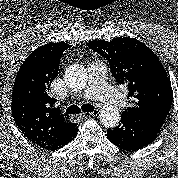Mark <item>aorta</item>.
I'll list each match as a JSON object with an SVG mask.
<instances>
[{
    "instance_id": "762f6f07",
    "label": "aorta",
    "mask_w": 178,
    "mask_h": 178,
    "mask_svg": "<svg viewBox=\"0 0 178 178\" xmlns=\"http://www.w3.org/2000/svg\"><path fill=\"white\" fill-rule=\"evenodd\" d=\"M67 85L73 90H82L85 88L88 76L84 67L74 65L69 67L65 74ZM101 123L106 127H115L120 121L118 109L113 106H104L99 115Z\"/></svg>"
}]
</instances>
